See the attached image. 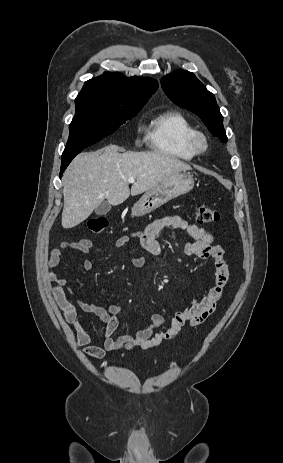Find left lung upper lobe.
I'll list each match as a JSON object with an SVG mask.
<instances>
[{
	"mask_svg": "<svg viewBox=\"0 0 283 463\" xmlns=\"http://www.w3.org/2000/svg\"><path fill=\"white\" fill-rule=\"evenodd\" d=\"M161 85L173 102L196 113L214 136L227 142L223 117L215 97L193 73L176 71L162 78Z\"/></svg>",
	"mask_w": 283,
	"mask_h": 463,
	"instance_id": "1",
	"label": "left lung upper lobe"
}]
</instances>
